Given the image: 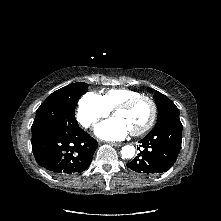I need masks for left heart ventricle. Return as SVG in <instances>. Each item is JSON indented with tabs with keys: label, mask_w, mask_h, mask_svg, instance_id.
<instances>
[{
	"label": "left heart ventricle",
	"mask_w": 221,
	"mask_h": 221,
	"mask_svg": "<svg viewBox=\"0 0 221 221\" xmlns=\"http://www.w3.org/2000/svg\"><path fill=\"white\" fill-rule=\"evenodd\" d=\"M115 118L121 119L130 131L142 128L150 119L151 105L148 101L142 100L128 110L117 111Z\"/></svg>",
	"instance_id": "obj_1"
}]
</instances>
